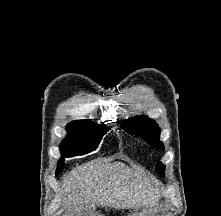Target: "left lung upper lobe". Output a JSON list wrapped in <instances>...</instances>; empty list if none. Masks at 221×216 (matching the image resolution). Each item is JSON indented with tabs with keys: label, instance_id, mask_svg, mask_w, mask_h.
<instances>
[{
	"label": "left lung upper lobe",
	"instance_id": "5c2ea615",
	"mask_svg": "<svg viewBox=\"0 0 221 216\" xmlns=\"http://www.w3.org/2000/svg\"><path fill=\"white\" fill-rule=\"evenodd\" d=\"M122 127L130 134L141 136L147 143L164 149L163 143L160 142V129L158 125L147 117H133L122 122ZM156 172L165 176V166L162 163L156 165Z\"/></svg>",
	"mask_w": 221,
	"mask_h": 216
}]
</instances>
